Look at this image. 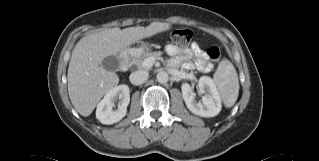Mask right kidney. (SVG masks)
<instances>
[{"mask_svg":"<svg viewBox=\"0 0 319 161\" xmlns=\"http://www.w3.org/2000/svg\"><path fill=\"white\" fill-rule=\"evenodd\" d=\"M117 100H120L118 108L114 109ZM129 102V87L124 84L115 86L98 103L96 118L106 125L117 123L126 115Z\"/></svg>","mask_w":319,"mask_h":161,"instance_id":"1","label":"right kidney"}]
</instances>
